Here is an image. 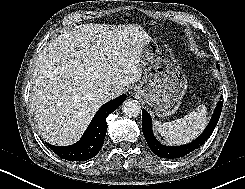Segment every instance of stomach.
Here are the masks:
<instances>
[{
	"label": "stomach",
	"mask_w": 245,
	"mask_h": 189,
	"mask_svg": "<svg viewBox=\"0 0 245 189\" xmlns=\"http://www.w3.org/2000/svg\"><path fill=\"white\" fill-rule=\"evenodd\" d=\"M143 78L135 94L153 107L157 116L174 114L187 90V79L172 49L157 41L145 43L141 51Z\"/></svg>",
	"instance_id": "stomach-1"
}]
</instances>
